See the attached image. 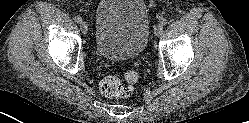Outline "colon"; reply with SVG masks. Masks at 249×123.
<instances>
[{
	"mask_svg": "<svg viewBox=\"0 0 249 123\" xmlns=\"http://www.w3.org/2000/svg\"><path fill=\"white\" fill-rule=\"evenodd\" d=\"M134 80L135 76L131 73L126 76V82L118 76H107L100 82V91L107 98H126L132 94L131 83Z\"/></svg>",
	"mask_w": 249,
	"mask_h": 123,
	"instance_id": "5ec220e1",
	"label": "colon"
}]
</instances>
